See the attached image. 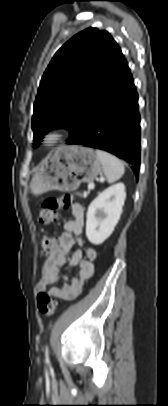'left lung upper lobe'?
<instances>
[{
	"mask_svg": "<svg viewBox=\"0 0 168 406\" xmlns=\"http://www.w3.org/2000/svg\"><path fill=\"white\" fill-rule=\"evenodd\" d=\"M122 59L119 46L105 30L88 28L66 42L40 82L32 120L34 147L54 128L76 136Z\"/></svg>",
	"mask_w": 168,
	"mask_h": 406,
	"instance_id": "left-lung-upper-lobe-1",
	"label": "left lung upper lobe"
}]
</instances>
